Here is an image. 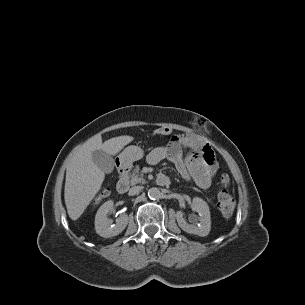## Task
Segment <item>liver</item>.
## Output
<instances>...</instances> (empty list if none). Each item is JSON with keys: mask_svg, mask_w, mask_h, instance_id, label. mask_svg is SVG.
I'll list each match as a JSON object with an SVG mask.
<instances>
[{"mask_svg": "<svg viewBox=\"0 0 305 305\" xmlns=\"http://www.w3.org/2000/svg\"><path fill=\"white\" fill-rule=\"evenodd\" d=\"M132 136L124 135L102 143L100 135H94L79 146L66 169L64 199L69 217L77 220L92 199L101 189L105 173L92 160V152L103 150L116 155L124 146L133 141Z\"/></svg>", "mask_w": 305, "mask_h": 305, "instance_id": "6515ba94", "label": "liver"}]
</instances>
